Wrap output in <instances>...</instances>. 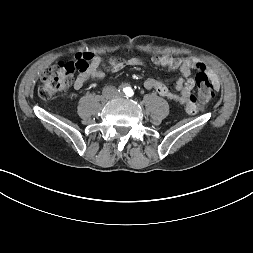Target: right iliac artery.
Listing matches in <instances>:
<instances>
[{
    "instance_id": "right-iliac-artery-1",
    "label": "right iliac artery",
    "mask_w": 253,
    "mask_h": 253,
    "mask_svg": "<svg viewBox=\"0 0 253 253\" xmlns=\"http://www.w3.org/2000/svg\"><path fill=\"white\" fill-rule=\"evenodd\" d=\"M120 91H123V92H125V88H123V87H120V89H119V92Z\"/></svg>"
}]
</instances>
